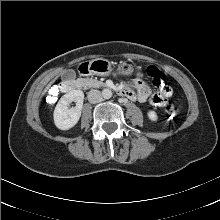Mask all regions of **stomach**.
Segmentation results:
<instances>
[{"label": "stomach", "mask_w": 220, "mask_h": 220, "mask_svg": "<svg viewBox=\"0 0 220 220\" xmlns=\"http://www.w3.org/2000/svg\"><path fill=\"white\" fill-rule=\"evenodd\" d=\"M126 64V63H123ZM111 63L102 58L94 59L89 62L82 63L83 73H87L89 75H98L105 76L111 73Z\"/></svg>", "instance_id": "stomach-1"}]
</instances>
